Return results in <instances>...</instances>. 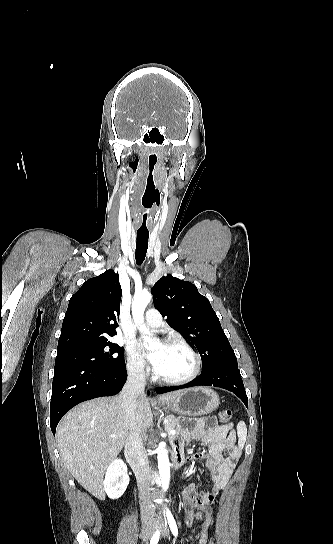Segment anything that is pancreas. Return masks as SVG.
<instances>
[{
	"mask_svg": "<svg viewBox=\"0 0 333 544\" xmlns=\"http://www.w3.org/2000/svg\"><path fill=\"white\" fill-rule=\"evenodd\" d=\"M165 420H166L165 429L168 432H170V430H176L177 431L176 435L169 434V437L172 438V439L176 438L177 435L182 431V429L180 427V424H179V420L177 418H175L173 415H167L165 417Z\"/></svg>",
	"mask_w": 333,
	"mask_h": 544,
	"instance_id": "1",
	"label": "pancreas"
}]
</instances>
